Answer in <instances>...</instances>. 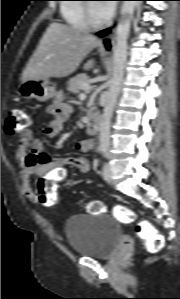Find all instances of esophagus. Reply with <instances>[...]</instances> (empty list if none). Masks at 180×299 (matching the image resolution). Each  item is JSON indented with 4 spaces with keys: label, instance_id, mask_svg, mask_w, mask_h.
Wrapping results in <instances>:
<instances>
[{
    "label": "esophagus",
    "instance_id": "esophagus-1",
    "mask_svg": "<svg viewBox=\"0 0 180 299\" xmlns=\"http://www.w3.org/2000/svg\"><path fill=\"white\" fill-rule=\"evenodd\" d=\"M114 47V37L112 34L107 35L104 37L101 43V49L104 50L105 52H110L112 51Z\"/></svg>",
    "mask_w": 180,
    "mask_h": 299
}]
</instances>
